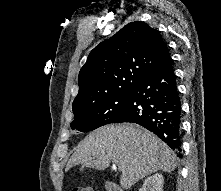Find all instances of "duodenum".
Wrapping results in <instances>:
<instances>
[{"label":"duodenum","mask_w":221,"mask_h":191,"mask_svg":"<svg viewBox=\"0 0 221 191\" xmlns=\"http://www.w3.org/2000/svg\"><path fill=\"white\" fill-rule=\"evenodd\" d=\"M106 191H123V189L113 181H107L105 183Z\"/></svg>","instance_id":"duodenum-1"}]
</instances>
